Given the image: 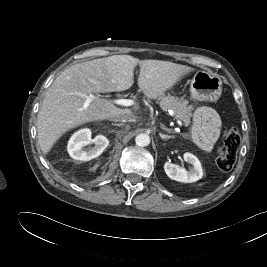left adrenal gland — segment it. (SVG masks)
<instances>
[{"label":"left adrenal gland","mask_w":267,"mask_h":267,"mask_svg":"<svg viewBox=\"0 0 267 267\" xmlns=\"http://www.w3.org/2000/svg\"><path fill=\"white\" fill-rule=\"evenodd\" d=\"M161 128H162L163 130H165L166 132H168V133H174L173 130H171V129L165 127L164 125H162ZM159 135H160L161 139H163V140L170 139V138H174V136H172V135H165V134H162V133H159Z\"/></svg>","instance_id":"left-adrenal-gland-1"}]
</instances>
